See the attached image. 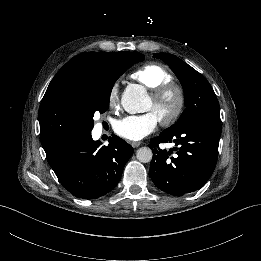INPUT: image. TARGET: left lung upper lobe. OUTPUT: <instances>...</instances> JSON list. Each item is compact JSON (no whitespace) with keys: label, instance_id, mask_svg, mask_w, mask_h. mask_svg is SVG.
I'll list each match as a JSON object with an SVG mask.
<instances>
[{"label":"left lung upper lobe","instance_id":"left-lung-upper-lobe-1","mask_svg":"<svg viewBox=\"0 0 261 261\" xmlns=\"http://www.w3.org/2000/svg\"><path fill=\"white\" fill-rule=\"evenodd\" d=\"M154 57L163 60L172 69L183 86L185 97L186 109L179 120L163 133L175 134L201 121L220 124L219 102L206 78L175 55L155 53Z\"/></svg>","mask_w":261,"mask_h":261}]
</instances>
